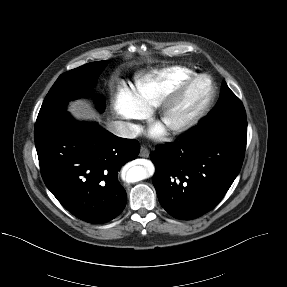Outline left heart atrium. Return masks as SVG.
<instances>
[{
  "label": "left heart atrium",
  "instance_id": "39dd6f15",
  "mask_svg": "<svg viewBox=\"0 0 287 287\" xmlns=\"http://www.w3.org/2000/svg\"><path fill=\"white\" fill-rule=\"evenodd\" d=\"M158 131H160V129H159V128L155 129V133H157Z\"/></svg>",
  "mask_w": 287,
  "mask_h": 287
}]
</instances>
